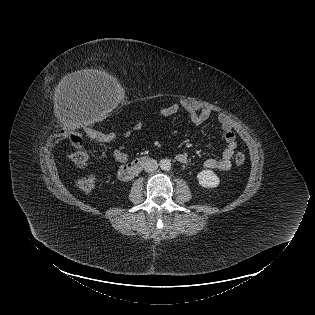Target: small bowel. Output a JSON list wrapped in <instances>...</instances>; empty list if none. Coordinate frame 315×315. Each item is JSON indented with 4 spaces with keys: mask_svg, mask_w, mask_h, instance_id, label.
Listing matches in <instances>:
<instances>
[{
    "mask_svg": "<svg viewBox=\"0 0 315 315\" xmlns=\"http://www.w3.org/2000/svg\"><path fill=\"white\" fill-rule=\"evenodd\" d=\"M180 108H183L189 115L191 121L196 124H202L208 120L213 112L208 108H202L196 105H192L186 101H182L180 104H172L159 110V115L162 117H169L176 114ZM217 120L222 129V137L225 142V149L222 153L221 158H208L204 162V166L207 169H215L220 171H228L232 166V159L237 147L236 136L233 131L232 121L228 115L224 113H219ZM143 120L137 121L130 129L123 132V138L130 137L133 133L138 132L143 129ZM112 156L115 161L119 163H126L129 160V155L126 152L124 146L116 148ZM188 156L186 153H178L176 155V160L180 163H186Z\"/></svg>",
    "mask_w": 315,
    "mask_h": 315,
    "instance_id": "small-bowel-1",
    "label": "small bowel"
}]
</instances>
